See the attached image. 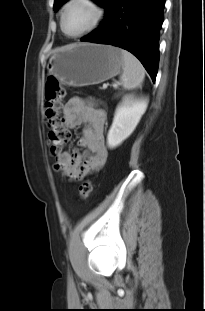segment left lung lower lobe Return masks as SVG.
Returning <instances> with one entry per match:
<instances>
[{
	"label": "left lung lower lobe",
	"instance_id": "obj_1",
	"mask_svg": "<svg viewBox=\"0 0 205 311\" xmlns=\"http://www.w3.org/2000/svg\"><path fill=\"white\" fill-rule=\"evenodd\" d=\"M164 5L165 0H114L106 19L81 41L110 44L131 52L155 82Z\"/></svg>",
	"mask_w": 205,
	"mask_h": 311
}]
</instances>
